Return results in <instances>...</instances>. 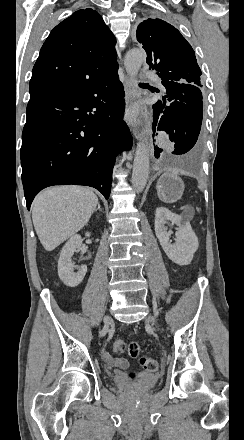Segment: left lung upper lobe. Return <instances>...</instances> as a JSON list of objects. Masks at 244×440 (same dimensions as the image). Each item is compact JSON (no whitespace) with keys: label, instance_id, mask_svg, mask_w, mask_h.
Masks as SVG:
<instances>
[{"label":"left lung upper lobe","instance_id":"left-lung-upper-lobe-1","mask_svg":"<svg viewBox=\"0 0 244 440\" xmlns=\"http://www.w3.org/2000/svg\"><path fill=\"white\" fill-rule=\"evenodd\" d=\"M136 37L147 53L149 69H155L162 81L201 85L194 50L174 26L147 19L139 24Z\"/></svg>","mask_w":244,"mask_h":440}]
</instances>
